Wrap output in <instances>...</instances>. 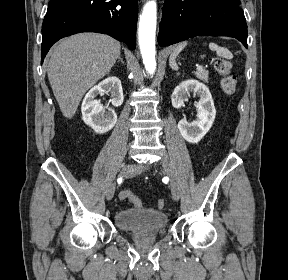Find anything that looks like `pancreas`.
Instances as JSON below:
<instances>
[{
	"mask_svg": "<svg viewBox=\"0 0 288 280\" xmlns=\"http://www.w3.org/2000/svg\"><path fill=\"white\" fill-rule=\"evenodd\" d=\"M195 76L204 82H208L209 72L205 69H200L195 72Z\"/></svg>",
	"mask_w": 288,
	"mask_h": 280,
	"instance_id": "1",
	"label": "pancreas"
}]
</instances>
